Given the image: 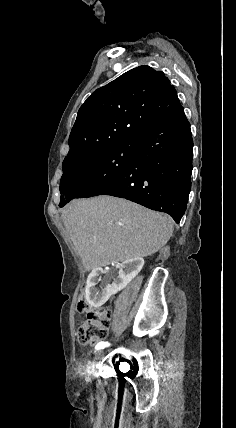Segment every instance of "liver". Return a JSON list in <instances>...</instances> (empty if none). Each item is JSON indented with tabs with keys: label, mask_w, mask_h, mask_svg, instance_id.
Returning <instances> with one entry per match:
<instances>
[{
	"label": "liver",
	"mask_w": 236,
	"mask_h": 428,
	"mask_svg": "<svg viewBox=\"0 0 236 428\" xmlns=\"http://www.w3.org/2000/svg\"><path fill=\"white\" fill-rule=\"evenodd\" d=\"M62 218L86 270L152 256L173 234L170 216L113 196L73 200Z\"/></svg>",
	"instance_id": "obj_1"
}]
</instances>
